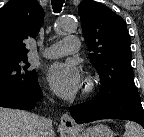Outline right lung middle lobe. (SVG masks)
<instances>
[{
    "mask_svg": "<svg viewBox=\"0 0 144 137\" xmlns=\"http://www.w3.org/2000/svg\"><path fill=\"white\" fill-rule=\"evenodd\" d=\"M27 57L0 65V90L14 89L33 94L38 87L35 70L29 69Z\"/></svg>",
    "mask_w": 144,
    "mask_h": 137,
    "instance_id": "right-lung-middle-lobe-1",
    "label": "right lung middle lobe"
}]
</instances>
